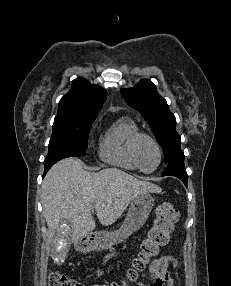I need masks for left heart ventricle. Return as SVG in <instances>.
Returning <instances> with one entry per match:
<instances>
[{"label":"left heart ventricle","mask_w":231,"mask_h":286,"mask_svg":"<svg viewBox=\"0 0 231 286\" xmlns=\"http://www.w3.org/2000/svg\"><path fill=\"white\" fill-rule=\"evenodd\" d=\"M138 160L144 170H153L158 164V152L149 140H142L137 150Z\"/></svg>","instance_id":"left-heart-ventricle-1"}]
</instances>
